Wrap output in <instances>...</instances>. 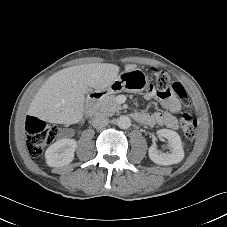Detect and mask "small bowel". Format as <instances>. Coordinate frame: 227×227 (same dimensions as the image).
<instances>
[{"label":"small bowel","mask_w":227,"mask_h":227,"mask_svg":"<svg viewBox=\"0 0 227 227\" xmlns=\"http://www.w3.org/2000/svg\"><path fill=\"white\" fill-rule=\"evenodd\" d=\"M146 91L145 98L161 102L164 110L155 113H141L143 118L140 123L147 126L163 125L170 129H176L178 121L175 114L180 112L181 104L174 93L170 89H157L154 83H149L146 86Z\"/></svg>","instance_id":"c3829d8e"}]
</instances>
